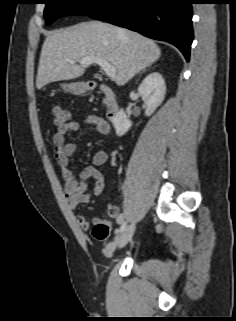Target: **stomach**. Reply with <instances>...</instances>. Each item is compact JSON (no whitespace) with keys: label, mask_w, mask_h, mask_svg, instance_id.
I'll return each instance as SVG.
<instances>
[{"label":"stomach","mask_w":236,"mask_h":321,"mask_svg":"<svg viewBox=\"0 0 236 321\" xmlns=\"http://www.w3.org/2000/svg\"><path fill=\"white\" fill-rule=\"evenodd\" d=\"M61 87L64 91L72 93L74 95H81L84 94L88 89V85L83 82H77V83H63L61 84Z\"/></svg>","instance_id":"1"}]
</instances>
